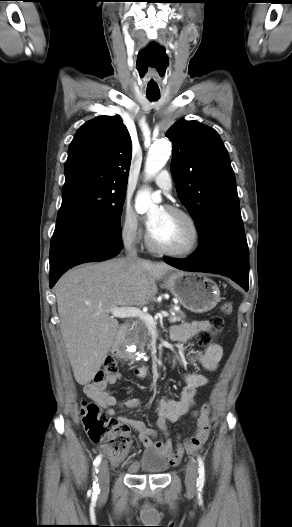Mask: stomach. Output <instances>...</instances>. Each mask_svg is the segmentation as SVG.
<instances>
[{
    "mask_svg": "<svg viewBox=\"0 0 292 527\" xmlns=\"http://www.w3.org/2000/svg\"><path fill=\"white\" fill-rule=\"evenodd\" d=\"M165 287L194 313L208 312L220 301L217 284L202 273L177 271L165 279Z\"/></svg>",
    "mask_w": 292,
    "mask_h": 527,
    "instance_id": "obj_1",
    "label": "stomach"
}]
</instances>
